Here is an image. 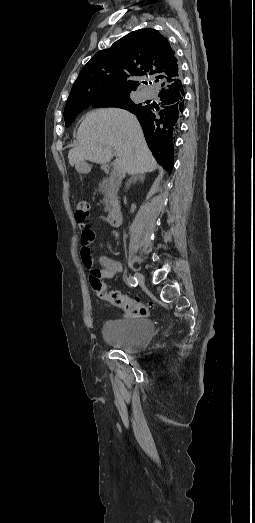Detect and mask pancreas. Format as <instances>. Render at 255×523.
I'll use <instances>...</instances> for the list:
<instances>
[{
  "label": "pancreas",
  "instance_id": "obj_1",
  "mask_svg": "<svg viewBox=\"0 0 255 523\" xmlns=\"http://www.w3.org/2000/svg\"><path fill=\"white\" fill-rule=\"evenodd\" d=\"M118 182L117 176L111 174L110 178H107V180L104 178L103 182L99 184L102 194H105V198H103V202L106 204L104 212H111L113 204L117 200Z\"/></svg>",
  "mask_w": 255,
  "mask_h": 523
}]
</instances>
